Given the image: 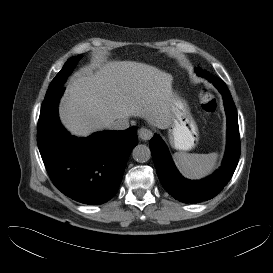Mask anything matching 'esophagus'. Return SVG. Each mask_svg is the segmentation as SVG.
I'll return each instance as SVG.
<instances>
[{
	"label": "esophagus",
	"instance_id": "esophagus-1",
	"mask_svg": "<svg viewBox=\"0 0 273 273\" xmlns=\"http://www.w3.org/2000/svg\"><path fill=\"white\" fill-rule=\"evenodd\" d=\"M152 135H153L152 131L147 129V128H140L138 130L139 138L144 140V141L150 140Z\"/></svg>",
	"mask_w": 273,
	"mask_h": 273
}]
</instances>
